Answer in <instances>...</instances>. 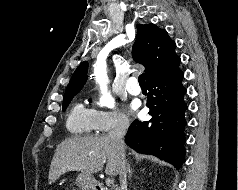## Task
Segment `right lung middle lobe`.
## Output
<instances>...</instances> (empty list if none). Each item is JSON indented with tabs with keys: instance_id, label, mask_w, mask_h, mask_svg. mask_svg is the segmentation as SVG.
<instances>
[{
	"instance_id": "obj_1",
	"label": "right lung middle lobe",
	"mask_w": 238,
	"mask_h": 190,
	"mask_svg": "<svg viewBox=\"0 0 238 190\" xmlns=\"http://www.w3.org/2000/svg\"><path fill=\"white\" fill-rule=\"evenodd\" d=\"M75 95H76V93L68 94V95L64 96V101H63V105H62L63 111L66 110L67 106L69 105V103L71 102L73 96H75Z\"/></svg>"
}]
</instances>
